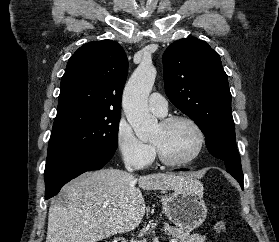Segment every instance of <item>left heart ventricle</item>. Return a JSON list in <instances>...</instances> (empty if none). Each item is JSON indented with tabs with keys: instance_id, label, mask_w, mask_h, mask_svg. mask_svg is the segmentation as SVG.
Returning <instances> with one entry per match:
<instances>
[{
	"instance_id": "left-heart-ventricle-1",
	"label": "left heart ventricle",
	"mask_w": 279,
	"mask_h": 242,
	"mask_svg": "<svg viewBox=\"0 0 279 242\" xmlns=\"http://www.w3.org/2000/svg\"><path fill=\"white\" fill-rule=\"evenodd\" d=\"M197 141L196 132L185 122H176L167 128L158 125L151 138V142L173 160L189 157L196 149Z\"/></svg>"
}]
</instances>
